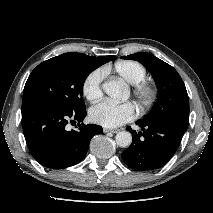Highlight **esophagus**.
<instances>
[{"instance_id":"34e87169","label":"esophagus","mask_w":213,"mask_h":213,"mask_svg":"<svg viewBox=\"0 0 213 213\" xmlns=\"http://www.w3.org/2000/svg\"><path fill=\"white\" fill-rule=\"evenodd\" d=\"M103 131H104V133H108V132L117 133V132H119V129L104 128Z\"/></svg>"}]
</instances>
